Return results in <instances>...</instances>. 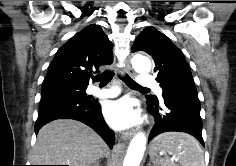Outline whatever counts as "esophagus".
<instances>
[{"mask_svg": "<svg viewBox=\"0 0 236 166\" xmlns=\"http://www.w3.org/2000/svg\"><path fill=\"white\" fill-rule=\"evenodd\" d=\"M123 72L124 73H127V74H132V69L129 67V65H126L123 69ZM134 135V131H126L123 133L122 135V139L123 140H128L130 139L132 136Z\"/></svg>", "mask_w": 236, "mask_h": 166, "instance_id": "obj_1", "label": "esophagus"}]
</instances>
